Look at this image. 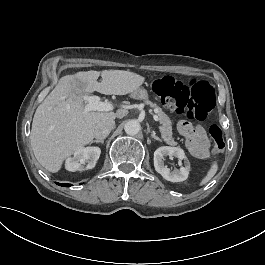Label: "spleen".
<instances>
[{
    "instance_id": "spleen-1",
    "label": "spleen",
    "mask_w": 265,
    "mask_h": 265,
    "mask_svg": "<svg viewBox=\"0 0 265 265\" xmlns=\"http://www.w3.org/2000/svg\"><path fill=\"white\" fill-rule=\"evenodd\" d=\"M218 169H219V162L216 158H214L210 164L209 169L207 170L206 174L202 177L198 186H203L207 184L216 175Z\"/></svg>"
}]
</instances>
